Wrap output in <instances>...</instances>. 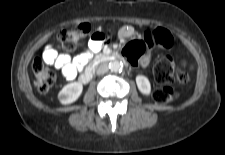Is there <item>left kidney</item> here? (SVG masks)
Listing matches in <instances>:
<instances>
[{
    "instance_id": "1",
    "label": "left kidney",
    "mask_w": 225,
    "mask_h": 155,
    "mask_svg": "<svg viewBox=\"0 0 225 155\" xmlns=\"http://www.w3.org/2000/svg\"><path fill=\"white\" fill-rule=\"evenodd\" d=\"M136 84L139 91L144 95H149L151 92V85L147 77L143 75L136 76Z\"/></svg>"
}]
</instances>
